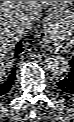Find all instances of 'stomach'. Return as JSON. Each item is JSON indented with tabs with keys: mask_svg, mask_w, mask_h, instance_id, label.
<instances>
[{
	"mask_svg": "<svg viewBox=\"0 0 74 122\" xmlns=\"http://www.w3.org/2000/svg\"><path fill=\"white\" fill-rule=\"evenodd\" d=\"M55 12H56L57 16L55 19L51 20V24L53 26H56V25L65 23V21L68 18L67 13L64 12L63 10L59 9L58 7H57V10H55Z\"/></svg>",
	"mask_w": 74,
	"mask_h": 122,
	"instance_id": "obj_1",
	"label": "stomach"
}]
</instances>
